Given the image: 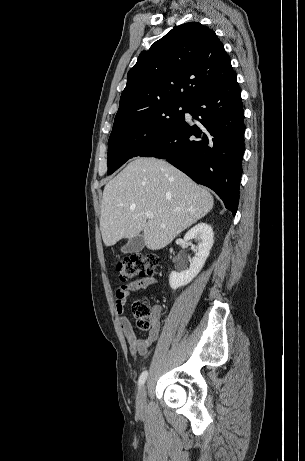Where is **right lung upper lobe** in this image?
Returning a JSON list of instances; mask_svg holds the SVG:
<instances>
[{"instance_id":"cb5924a9","label":"right lung upper lobe","mask_w":305,"mask_h":461,"mask_svg":"<svg viewBox=\"0 0 305 461\" xmlns=\"http://www.w3.org/2000/svg\"><path fill=\"white\" fill-rule=\"evenodd\" d=\"M234 73L213 30L198 22L179 25L139 55L128 72L115 122L167 103L189 104Z\"/></svg>"}]
</instances>
